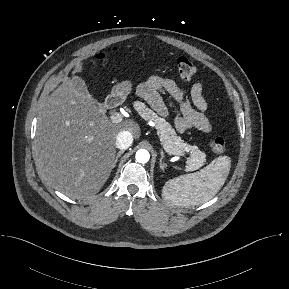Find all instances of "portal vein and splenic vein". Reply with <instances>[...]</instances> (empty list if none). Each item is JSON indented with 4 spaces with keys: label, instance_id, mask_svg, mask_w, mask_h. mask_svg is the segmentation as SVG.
I'll list each match as a JSON object with an SVG mask.
<instances>
[{
    "label": "portal vein and splenic vein",
    "instance_id": "portal-vein-and-splenic-vein-1",
    "mask_svg": "<svg viewBox=\"0 0 289 289\" xmlns=\"http://www.w3.org/2000/svg\"><path fill=\"white\" fill-rule=\"evenodd\" d=\"M110 119L112 121V123H120L123 121V116L122 114L118 113V112H115L113 113L111 116H110ZM164 150L166 152H168L169 154H172V155H182V153L180 151H176L174 149H171L169 148L168 146H163Z\"/></svg>",
    "mask_w": 289,
    "mask_h": 289
}]
</instances>
